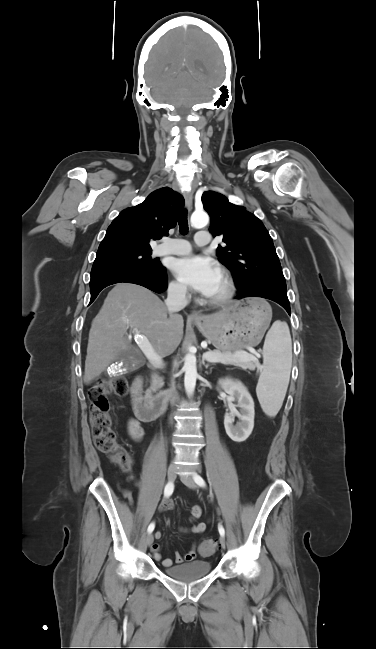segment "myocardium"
<instances>
[{"label": "myocardium", "instance_id": "myocardium-1", "mask_svg": "<svg viewBox=\"0 0 376 649\" xmlns=\"http://www.w3.org/2000/svg\"><path fill=\"white\" fill-rule=\"evenodd\" d=\"M220 275L222 276L224 283H225V290L224 292L218 296V297H208L207 298V303L211 306H222L228 303L234 296L235 294V283L233 281V278L229 274V272L225 269H222L220 271Z\"/></svg>", "mask_w": 376, "mask_h": 649}]
</instances>
